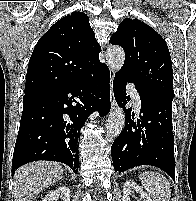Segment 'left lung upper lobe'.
<instances>
[{
    "label": "left lung upper lobe",
    "mask_w": 196,
    "mask_h": 201,
    "mask_svg": "<svg viewBox=\"0 0 196 201\" xmlns=\"http://www.w3.org/2000/svg\"><path fill=\"white\" fill-rule=\"evenodd\" d=\"M110 43L125 50L121 74L142 89L173 100V71L169 49L163 38L138 19L126 18L111 36Z\"/></svg>",
    "instance_id": "1"
}]
</instances>
